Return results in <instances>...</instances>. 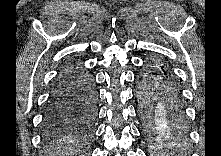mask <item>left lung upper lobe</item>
I'll list each match as a JSON object with an SVG mask.
<instances>
[{
	"instance_id": "5c2ea615",
	"label": "left lung upper lobe",
	"mask_w": 221,
	"mask_h": 156,
	"mask_svg": "<svg viewBox=\"0 0 221 156\" xmlns=\"http://www.w3.org/2000/svg\"><path fill=\"white\" fill-rule=\"evenodd\" d=\"M154 63L159 64V65H162L164 68L169 69L168 66H167V64H163V63L160 62V61H155Z\"/></svg>"
}]
</instances>
